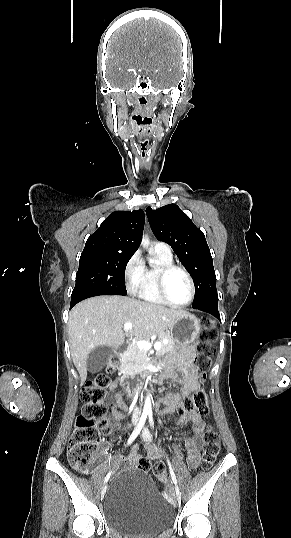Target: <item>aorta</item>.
I'll use <instances>...</instances> for the list:
<instances>
[{"instance_id":"aorta-1","label":"aorta","mask_w":291,"mask_h":538,"mask_svg":"<svg viewBox=\"0 0 291 538\" xmlns=\"http://www.w3.org/2000/svg\"><path fill=\"white\" fill-rule=\"evenodd\" d=\"M147 243H148V239L143 237L141 245H146ZM150 263H153V260H150ZM143 412L146 413V414H151L152 413L151 395H147V397L145 399Z\"/></svg>"}]
</instances>
